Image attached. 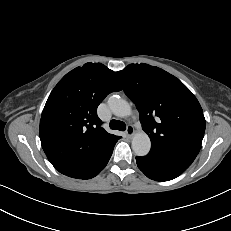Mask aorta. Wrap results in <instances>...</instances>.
Returning <instances> with one entry per match:
<instances>
[{"label":"aorta","instance_id":"aorta-1","mask_svg":"<svg viewBox=\"0 0 231 231\" xmlns=\"http://www.w3.org/2000/svg\"><path fill=\"white\" fill-rule=\"evenodd\" d=\"M108 106L112 113L117 117H126L131 115L130 104L119 96H110ZM132 149L137 156H145L151 149V141L145 132H139L132 139Z\"/></svg>","mask_w":231,"mask_h":231}]
</instances>
